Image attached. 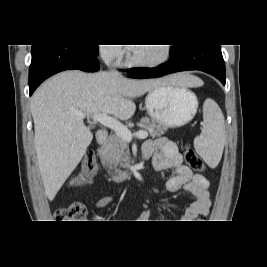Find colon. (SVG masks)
I'll return each instance as SVG.
<instances>
[{"instance_id":"colon-1","label":"colon","mask_w":267,"mask_h":267,"mask_svg":"<svg viewBox=\"0 0 267 267\" xmlns=\"http://www.w3.org/2000/svg\"><path fill=\"white\" fill-rule=\"evenodd\" d=\"M184 157L186 163L195 171L201 172L204 170V164L196 152L188 145L184 148ZM82 170L78 176V185L86 183L91 176L97 171L98 165L95 154L92 150H88L81 162ZM87 213L86 205L83 202L75 201L66 207L59 208L55 212L56 222L60 223H77L81 222ZM204 218V217H202Z\"/></svg>"}]
</instances>
